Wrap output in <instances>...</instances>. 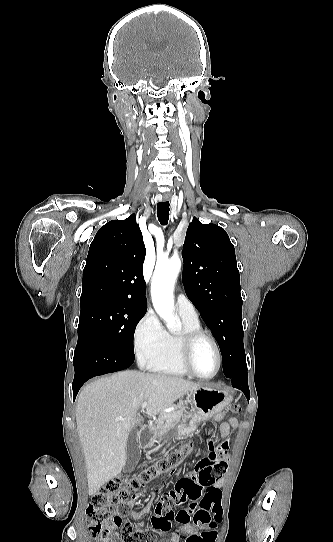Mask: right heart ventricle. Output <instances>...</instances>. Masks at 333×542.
<instances>
[{
    "instance_id": "right-heart-ventricle-1",
    "label": "right heart ventricle",
    "mask_w": 333,
    "mask_h": 542,
    "mask_svg": "<svg viewBox=\"0 0 333 542\" xmlns=\"http://www.w3.org/2000/svg\"><path fill=\"white\" fill-rule=\"evenodd\" d=\"M181 319L183 324L181 332H166L165 339L160 346L138 354V363L141 368L178 377L188 376L180 362L179 343L185 333L200 331L202 328L199 320L193 321L183 316H181Z\"/></svg>"
}]
</instances>
